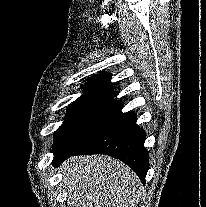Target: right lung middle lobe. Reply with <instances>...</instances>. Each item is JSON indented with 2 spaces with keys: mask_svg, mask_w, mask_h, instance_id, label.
Masks as SVG:
<instances>
[{
  "mask_svg": "<svg viewBox=\"0 0 206 207\" xmlns=\"http://www.w3.org/2000/svg\"><path fill=\"white\" fill-rule=\"evenodd\" d=\"M116 99L76 100L55 134L54 152L78 148L123 113Z\"/></svg>",
  "mask_w": 206,
  "mask_h": 207,
  "instance_id": "1",
  "label": "right lung middle lobe"
}]
</instances>
